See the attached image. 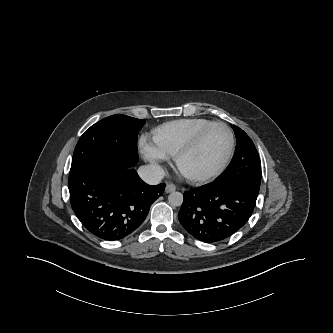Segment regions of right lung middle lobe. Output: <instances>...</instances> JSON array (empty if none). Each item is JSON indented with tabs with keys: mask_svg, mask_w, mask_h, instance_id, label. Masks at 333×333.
<instances>
[{
	"mask_svg": "<svg viewBox=\"0 0 333 333\" xmlns=\"http://www.w3.org/2000/svg\"><path fill=\"white\" fill-rule=\"evenodd\" d=\"M145 123L126 115L109 116L92 125L79 139L69 176L88 167L128 168L138 161L137 133Z\"/></svg>",
	"mask_w": 333,
	"mask_h": 333,
	"instance_id": "obj_1",
	"label": "right lung middle lobe"
}]
</instances>
